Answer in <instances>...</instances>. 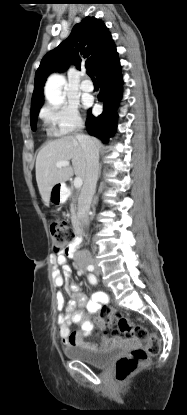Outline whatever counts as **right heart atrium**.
<instances>
[{
	"mask_svg": "<svg viewBox=\"0 0 187 415\" xmlns=\"http://www.w3.org/2000/svg\"><path fill=\"white\" fill-rule=\"evenodd\" d=\"M40 117L49 130L58 136L73 133L83 125L76 105L66 102L57 106H45Z\"/></svg>",
	"mask_w": 187,
	"mask_h": 415,
	"instance_id": "1",
	"label": "right heart atrium"
}]
</instances>
